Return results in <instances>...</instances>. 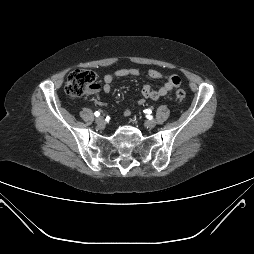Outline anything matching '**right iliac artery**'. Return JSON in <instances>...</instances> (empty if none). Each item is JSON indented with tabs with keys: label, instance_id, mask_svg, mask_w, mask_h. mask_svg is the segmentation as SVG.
Segmentation results:
<instances>
[{
	"label": "right iliac artery",
	"instance_id": "1",
	"mask_svg": "<svg viewBox=\"0 0 254 254\" xmlns=\"http://www.w3.org/2000/svg\"><path fill=\"white\" fill-rule=\"evenodd\" d=\"M94 115H95L96 117H98V116L100 115V112H99V111H96V112L94 113Z\"/></svg>",
	"mask_w": 254,
	"mask_h": 254
}]
</instances>
